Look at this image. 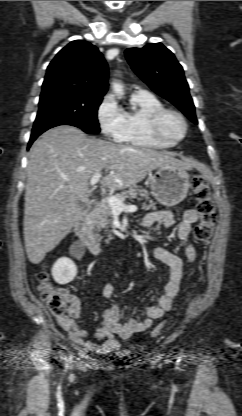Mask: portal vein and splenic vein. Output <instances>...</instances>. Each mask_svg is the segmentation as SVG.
Returning a JSON list of instances; mask_svg holds the SVG:
<instances>
[{"label": "portal vein and splenic vein", "instance_id": "18ae733b", "mask_svg": "<svg viewBox=\"0 0 242 416\" xmlns=\"http://www.w3.org/2000/svg\"><path fill=\"white\" fill-rule=\"evenodd\" d=\"M101 177H102L101 173H97V174L93 175L90 179V184L92 186H94L96 183L99 182ZM106 200L109 203V205L111 206V208L113 209V211L133 212V211L137 210V206H135V205H125L121 199H119L115 196H109V197L106 198Z\"/></svg>", "mask_w": 242, "mask_h": 416}]
</instances>
